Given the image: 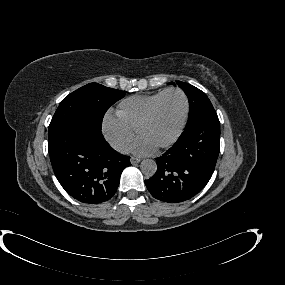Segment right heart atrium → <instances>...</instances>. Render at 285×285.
Returning a JSON list of instances; mask_svg holds the SVG:
<instances>
[{"mask_svg": "<svg viewBox=\"0 0 285 285\" xmlns=\"http://www.w3.org/2000/svg\"><path fill=\"white\" fill-rule=\"evenodd\" d=\"M102 133L109 144L119 152H127L134 141L135 134L118 117L105 115L102 121Z\"/></svg>", "mask_w": 285, "mask_h": 285, "instance_id": "d8ad5b80", "label": "right heart atrium"}]
</instances>
